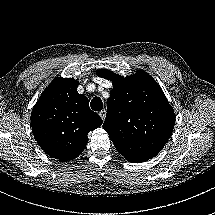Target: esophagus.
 Here are the masks:
<instances>
[{
    "mask_svg": "<svg viewBox=\"0 0 215 215\" xmlns=\"http://www.w3.org/2000/svg\"><path fill=\"white\" fill-rule=\"evenodd\" d=\"M100 117L102 118V120H105L106 117V109H103L99 112Z\"/></svg>",
    "mask_w": 215,
    "mask_h": 215,
    "instance_id": "obj_1",
    "label": "esophagus"
}]
</instances>
